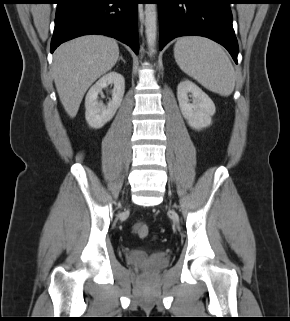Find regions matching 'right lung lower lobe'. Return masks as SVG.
<instances>
[{
	"mask_svg": "<svg viewBox=\"0 0 290 321\" xmlns=\"http://www.w3.org/2000/svg\"><path fill=\"white\" fill-rule=\"evenodd\" d=\"M139 0H58L51 53L63 42L88 34L113 37L138 54Z\"/></svg>",
	"mask_w": 290,
	"mask_h": 321,
	"instance_id": "98d812e1",
	"label": "right lung lower lobe"
}]
</instances>
